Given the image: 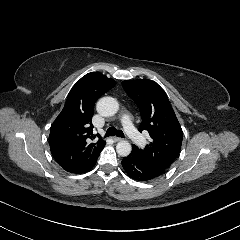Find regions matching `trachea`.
I'll use <instances>...</instances> for the list:
<instances>
[{"label":"trachea","mask_w":240,"mask_h":240,"mask_svg":"<svg viewBox=\"0 0 240 240\" xmlns=\"http://www.w3.org/2000/svg\"><path fill=\"white\" fill-rule=\"evenodd\" d=\"M117 136L121 138H125L124 133L121 130H117L114 127L108 128L106 131V134L104 135V138L110 137V136Z\"/></svg>","instance_id":"trachea-1"}]
</instances>
